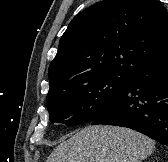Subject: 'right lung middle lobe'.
<instances>
[{"label":"right lung middle lobe","instance_id":"right-lung-middle-lobe-1","mask_svg":"<svg viewBox=\"0 0 168 162\" xmlns=\"http://www.w3.org/2000/svg\"><path fill=\"white\" fill-rule=\"evenodd\" d=\"M129 78L127 74L108 73L79 79L50 91L46 98L50 121L66 125L93 121Z\"/></svg>","mask_w":168,"mask_h":162}]
</instances>
